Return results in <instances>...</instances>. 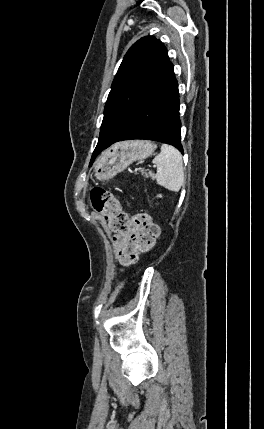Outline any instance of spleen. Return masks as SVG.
Returning a JSON list of instances; mask_svg holds the SVG:
<instances>
[{
    "label": "spleen",
    "mask_w": 264,
    "mask_h": 429,
    "mask_svg": "<svg viewBox=\"0 0 264 429\" xmlns=\"http://www.w3.org/2000/svg\"><path fill=\"white\" fill-rule=\"evenodd\" d=\"M152 162L157 166V184L170 191L178 192L184 184L181 153L175 147L163 144L160 153Z\"/></svg>",
    "instance_id": "1"
}]
</instances>
